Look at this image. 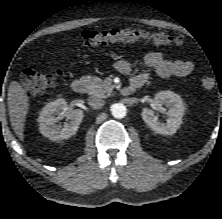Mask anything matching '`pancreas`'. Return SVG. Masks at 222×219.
Instances as JSON below:
<instances>
[{
	"label": "pancreas",
	"instance_id": "pancreas-1",
	"mask_svg": "<svg viewBox=\"0 0 222 219\" xmlns=\"http://www.w3.org/2000/svg\"><path fill=\"white\" fill-rule=\"evenodd\" d=\"M87 93L90 95L106 98L112 92V87L96 76H84Z\"/></svg>",
	"mask_w": 222,
	"mask_h": 219
}]
</instances>
